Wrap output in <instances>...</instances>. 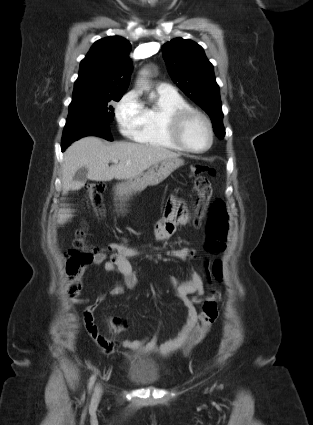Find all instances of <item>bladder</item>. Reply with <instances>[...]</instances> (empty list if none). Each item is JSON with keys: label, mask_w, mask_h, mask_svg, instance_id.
Returning a JSON list of instances; mask_svg holds the SVG:
<instances>
[{"label": "bladder", "mask_w": 313, "mask_h": 425, "mask_svg": "<svg viewBox=\"0 0 313 425\" xmlns=\"http://www.w3.org/2000/svg\"><path fill=\"white\" fill-rule=\"evenodd\" d=\"M127 377L136 384L150 385L159 381L157 368L147 357H136L129 362Z\"/></svg>", "instance_id": "1"}]
</instances>
